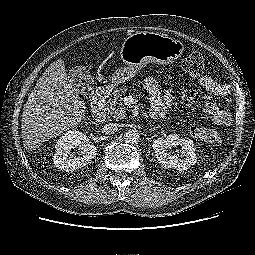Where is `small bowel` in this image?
<instances>
[{"mask_svg": "<svg viewBox=\"0 0 255 255\" xmlns=\"http://www.w3.org/2000/svg\"><path fill=\"white\" fill-rule=\"evenodd\" d=\"M200 85L213 94H220L223 91L222 85L210 76H204L199 79ZM144 86L151 100V115L154 118H162L167 111L172 107L174 101V93L170 89L163 95L160 92L159 84L153 77H148L144 80ZM208 111H215L216 106L209 103L206 107ZM218 120H222L223 116H218Z\"/></svg>", "mask_w": 255, "mask_h": 255, "instance_id": "1", "label": "small bowel"}]
</instances>
